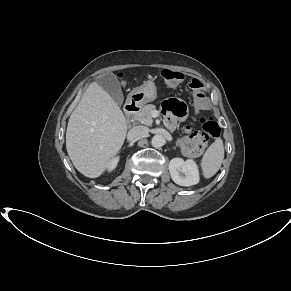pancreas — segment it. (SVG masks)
Returning <instances> with one entry per match:
<instances>
[{"mask_svg": "<svg viewBox=\"0 0 291 291\" xmlns=\"http://www.w3.org/2000/svg\"><path fill=\"white\" fill-rule=\"evenodd\" d=\"M155 108L156 106L152 104L145 105L142 110L135 115V119L141 124L151 126L153 122L151 113L155 110Z\"/></svg>", "mask_w": 291, "mask_h": 291, "instance_id": "cf45deb5", "label": "pancreas"}]
</instances>
